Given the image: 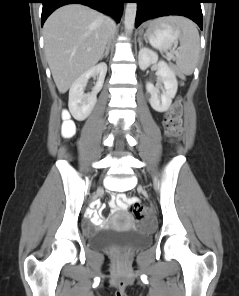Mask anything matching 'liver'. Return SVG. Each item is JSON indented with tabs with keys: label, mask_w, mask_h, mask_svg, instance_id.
<instances>
[{
	"label": "liver",
	"mask_w": 239,
	"mask_h": 296,
	"mask_svg": "<svg viewBox=\"0 0 239 296\" xmlns=\"http://www.w3.org/2000/svg\"><path fill=\"white\" fill-rule=\"evenodd\" d=\"M110 27L108 17L80 4L63 6L48 17L43 27L44 48L60 93L100 60Z\"/></svg>",
	"instance_id": "1"
}]
</instances>
